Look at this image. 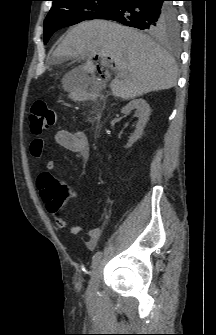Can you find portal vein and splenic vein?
<instances>
[{
  "mask_svg": "<svg viewBox=\"0 0 216 335\" xmlns=\"http://www.w3.org/2000/svg\"><path fill=\"white\" fill-rule=\"evenodd\" d=\"M101 65L105 66V67H108L109 66V61L107 59L103 58L101 60ZM111 67H113V66L111 65Z\"/></svg>",
  "mask_w": 216,
  "mask_h": 335,
  "instance_id": "1",
  "label": "portal vein and splenic vein"
}]
</instances>
